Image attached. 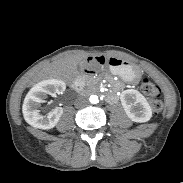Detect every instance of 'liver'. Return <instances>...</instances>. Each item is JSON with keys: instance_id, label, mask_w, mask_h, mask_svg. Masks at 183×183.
<instances>
[{"instance_id": "obj_1", "label": "liver", "mask_w": 183, "mask_h": 183, "mask_svg": "<svg viewBox=\"0 0 183 183\" xmlns=\"http://www.w3.org/2000/svg\"><path fill=\"white\" fill-rule=\"evenodd\" d=\"M86 57L87 55H84L58 61L52 65L50 75L58 79L69 80L77 74V63Z\"/></svg>"}]
</instances>
